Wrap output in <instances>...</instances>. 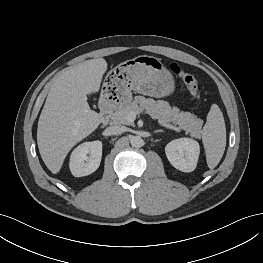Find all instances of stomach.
Listing matches in <instances>:
<instances>
[{"label":"stomach","mask_w":263,"mask_h":263,"mask_svg":"<svg viewBox=\"0 0 263 263\" xmlns=\"http://www.w3.org/2000/svg\"><path fill=\"white\" fill-rule=\"evenodd\" d=\"M174 90V79L159 58L140 55L113 68L105 77L102 95L116 97L123 105L132 91L152 97H164Z\"/></svg>","instance_id":"1"}]
</instances>
